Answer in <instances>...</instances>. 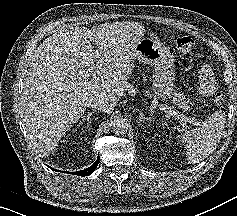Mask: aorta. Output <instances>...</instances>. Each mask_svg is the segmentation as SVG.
I'll list each match as a JSON object with an SVG mask.
<instances>
[{
    "mask_svg": "<svg viewBox=\"0 0 237 216\" xmlns=\"http://www.w3.org/2000/svg\"><path fill=\"white\" fill-rule=\"evenodd\" d=\"M128 129V123L122 116L114 117L112 121V130L115 134H125Z\"/></svg>",
    "mask_w": 237,
    "mask_h": 216,
    "instance_id": "762f6f07",
    "label": "aorta"
}]
</instances>
